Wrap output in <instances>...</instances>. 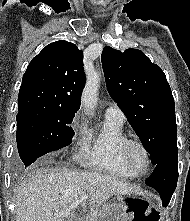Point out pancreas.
I'll use <instances>...</instances> for the list:
<instances>
[{"label":"pancreas","mask_w":190,"mask_h":221,"mask_svg":"<svg viewBox=\"0 0 190 221\" xmlns=\"http://www.w3.org/2000/svg\"><path fill=\"white\" fill-rule=\"evenodd\" d=\"M90 221H97V220H96L95 216H93Z\"/></svg>","instance_id":"pancreas-1"}]
</instances>
